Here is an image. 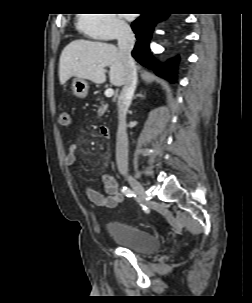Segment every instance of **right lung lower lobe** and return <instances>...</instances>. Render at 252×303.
Wrapping results in <instances>:
<instances>
[{
  "instance_id": "1",
  "label": "right lung lower lobe",
  "mask_w": 252,
  "mask_h": 303,
  "mask_svg": "<svg viewBox=\"0 0 252 303\" xmlns=\"http://www.w3.org/2000/svg\"><path fill=\"white\" fill-rule=\"evenodd\" d=\"M167 17L168 14L164 13H145L132 23L131 27L137 38L132 56L143 66L174 82L178 59H172L165 65H158L149 50V43L155 25Z\"/></svg>"
}]
</instances>
